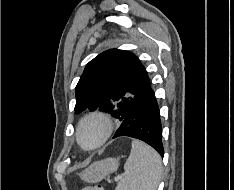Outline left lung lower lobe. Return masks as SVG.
I'll list each match as a JSON object with an SVG mask.
<instances>
[{
  "instance_id": "obj_1",
  "label": "left lung lower lobe",
  "mask_w": 234,
  "mask_h": 190,
  "mask_svg": "<svg viewBox=\"0 0 234 190\" xmlns=\"http://www.w3.org/2000/svg\"><path fill=\"white\" fill-rule=\"evenodd\" d=\"M120 136L140 139L152 146L163 157L159 108L150 84L132 105L113 138Z\"/></svg>"
}]
</instances>
